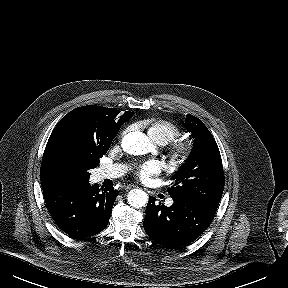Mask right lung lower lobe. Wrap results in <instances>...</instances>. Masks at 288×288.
<instances>
[{"mask_svg":"<svg viewBox=\"0 0 288 288\" xmlns=\"http://www.w3.org/2000/svg\"><path fill=\"white\" fill-rule=\"evenodd\" d=\"M118 193L113 187L90 186L89 181L43 190L55 223L74 239L98 234L108 225Z\"/></svg>","mask_w":288,"mask_h":288,"instance_id":"right-lung-lower-lobe-1","label":"right lung lower lobe"}]
</instances>
